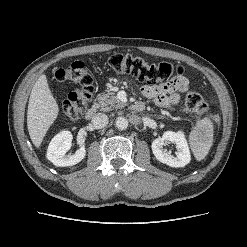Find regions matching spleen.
<instances>
[{
	"label": "spleen",
	"mask_w": 247,
	"mask_h": 247,
	"mask_svg": "<svg viewBox=\"0 0 247 247\" xmlns=\"http://www.w3.org/2000/svg\"><path fill=\"white\" fill-rule=\"evenodd\" d=\"M200 137L191 142L192 151L198 161L203 160L208 154L213 140V124L208 118H204L197 124Z\"/></svg>",
	"instance_id": "3e777b00"
}]
</instances>
